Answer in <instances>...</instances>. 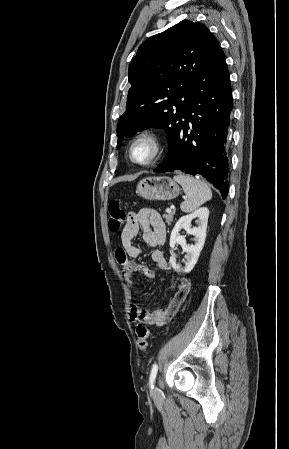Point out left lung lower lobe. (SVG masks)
Instances as JSON below:
<instances>
[{
	"instance_id": "left-lung-lower-lobe-1",
	"label": "left lung lower lobe",
	"mask_w": 289,
	"mask_h": 449,
	"mask_svg": "<svg viewBox=\"0 0 289 449\" xmlns=\"http://www.w3.org/2000/svg\"><path fill=\"white\" fill-rule=\"evenodd\" d=\"M232 90L224 52L219 48L202 70L178 123L169 150L154 172H182L202 176L228 194L229 126Z\"/></svg>"
}]
</instances>
